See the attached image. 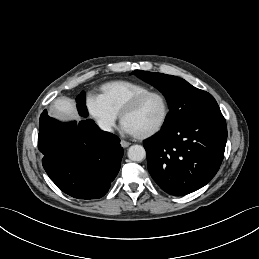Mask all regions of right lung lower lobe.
<instances>
[{"mask_svg":"<svg viewBox=\"0 0 259 259\" xmlns=\"http://www.w3.org/2000/svg\"><path fill=\"white\" fill-rule=\"evenodd\" d=\"M38 148L50 179L64 193L79 199L104 196L123 156L120 139L102 131L93 120L63 124L50 118L46 110L40 116Z\"/></svg>","mask_w":259,"mask_h":259,"instance_id":"1","label":"right lung lower lobe"}]
</instances>
